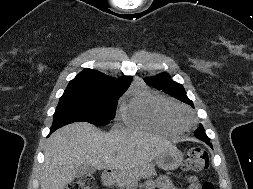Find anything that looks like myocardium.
<instances>
[{
  "label": "myocardium",
  "instance_id": "1",
  "mask_svg": "<svg viewBox=\"0 0 253 189\" xmlns=\"http://www.w3.org/2000/svg\"><path fill=\"white\" fill-rule=\"evenodd\" d=\"M167 114L171 123L179 131L190 130L195 125V119L192 113L183 106L175 105L168 109Z\"/></svg>",
  "mask_w": 253,
  "mask_h": 189
}]
</instances>
